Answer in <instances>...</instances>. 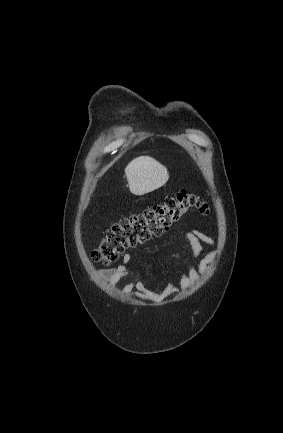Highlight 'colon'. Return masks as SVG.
<instances>
[{"label": "colon", "mask_w": 283, "mask_h": 433, "mask_svg": "<svg viewBox=\"0 0 283 433\" xmlns=\"http://www.w3.org/2000/svg\"><path fill=\"white\" fill-rule=\"evenodd\" d=\"M190 210L209 214L207 203L188 190L182 189L176 195L167 196L162 203L114 223L105 232L93 256L104 264H110L127 249L161 236Z\"/></svg>", "instance_id": "colon-1"}]
</instances>
